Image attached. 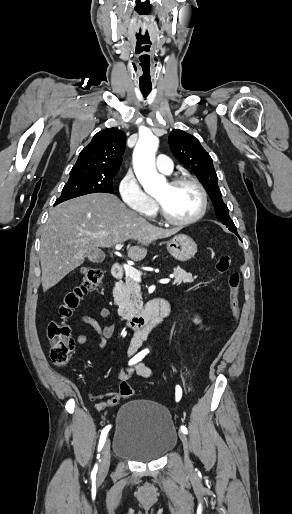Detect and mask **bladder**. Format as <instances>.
I'll use <instances>...</instances> for the list:
<instances>
[{"mask_svg": "<svg viewBox=\"0 0 292 514\" xmlns=\"http://www.w3.org/2000/svg\"><path fill=\"white\" fill-rule=\"evenodd\" d=\"M177 439L171 414L163 405L137 399L119 408L113 441L117 458L145 463L156 461L174 449Z\"/></svg>", "mask_w": 292, "mask_h": 514, "instance_id": "bladder-1", "label": "bladder"}]
</instances>
